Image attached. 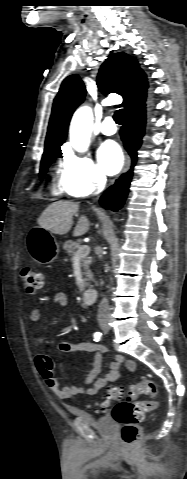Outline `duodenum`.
Returning <instances> with one entry per match:
<instances>
[{
  "instance_id": "410a0bca",
  "label": "duodenum",
  "mask_w": 187,
  "mask_h": 479,
  "mask_svg": "<svg viewBox=\"0 0 187 479\" xmlns=\"http://www.w3.org/2000/svg\"><path fill=\"white\" fill-rule=\"evenodd\" d=\"M96 297H97V291L95 289L89 288L83 292V301L86 304H93L96 300Z\"/></svg>"
}]
</instances>
